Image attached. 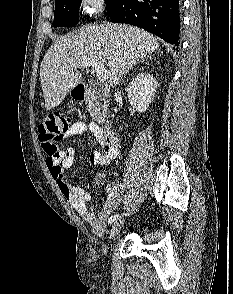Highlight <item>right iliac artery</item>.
I'll use <instances>...</instances> for the list:
<instances>
[{
	"label": "right iliac artery",
	"instance_id": "1",
	"mask_svg": "<svg viewBox=\"0 0 233 294\" xmlns=\"http://www.w3.org/2000/svg\"><path fill=\"white\" fill-rule=\"evenodd\" d=\"M124 215V214H123ZM123 215H118V214H116V215H114V216H112L110 219H109V221H108V223H113L114 221H117V220H119ZM125 215H128V214H125Z\"/></svg>",
	"mask_w": 233,
	"mask_h": 294
}]
</instances>
